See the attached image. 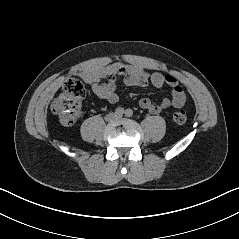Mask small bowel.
I'll return each instance as SVG.
<instances>
[{
  "instance_id": "1",
  "label": "small bowel",
  "mask_w": 239,
  "mask_h": 239,
  "mask_svg": "<svg viewBox=\"0 0 239 239\" xmlns=\"http://www.w3.org/2000/svg\"><path fill=\"white\" fill-rule=\"evenodd\" d=\"M79 76L92 85L93 93L98 98L110 103H116L119 99L117 89L120 80L127 86L145 87L152 84L156 88L170 87L171 96L160 103H155L149 98L139 100L140 108L154 115L160 114L169 107H182L186 102L185 93L174 76L160 72L149 73L138 65L115 62L102 68L84 69ZM104 78L107 79V83L99 84L98 82Z\"/></svg>"
}]
</instances>
